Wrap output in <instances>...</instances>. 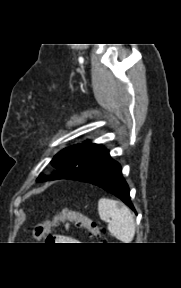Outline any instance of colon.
Instances as JSON below:
<instances>
[{"label": "colon", "mask_w": 181, "mask_h": 288, "mask_svg": "<svg viewBox=\"0 0 181 288\" xmlns=\"http://www.w3.org/2000/svg\"><path fill=\"white\" fill-rule=\"evenodd\" d=\"M72 223L78 228L87 230L92 237L100 240L105 238V230L95 220L80 211L68 208L62 209L48 222L35 225L32 228V236L37 240L50 238L55 229L59 227L70 228Z\"/></svg>", "instance_id": "1"}]
</instances>
